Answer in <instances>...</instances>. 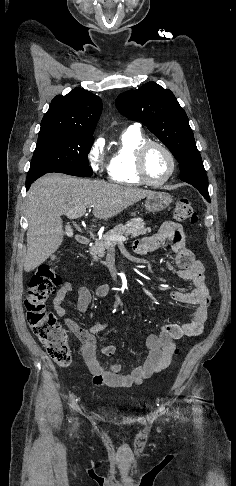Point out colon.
I'll return each mask as SVG.
<instances>
[{
	"instance_id": "colon-1",
	"label": "colon",
	"mask_w": 236,
	"mask_h": 486,
	"mask_svg": "<svg viewBox=\"0 0 236 486\" xmlns=\"http://www.w3.org/2000/svg\"><path fill=\"white\" fill-rule=\"evenodd\" d=\"M174 218L177 221L196 222L197 213L188 199L181 198L176 202ZM60 283L53 262L40 265L30 279L25 307L28 324L49 356L57 365L67 366L71 362L67 333L55 315L46 308V301L56 292Z\"/></svg>"
}]
</instances>
